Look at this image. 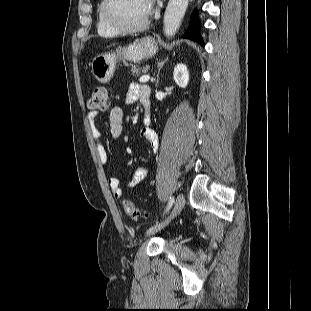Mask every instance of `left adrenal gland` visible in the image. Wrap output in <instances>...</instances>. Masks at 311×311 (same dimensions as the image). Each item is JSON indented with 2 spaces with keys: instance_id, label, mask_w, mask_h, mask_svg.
<instances>
[{
  "instance_id": "1",
  "label": "left adrenal gland",
  "mask_w": 311,
  "mask_h": 311,
  "mask_svg": "<svg viewBox=\"0 0 311 311\" xmlns=\"http://www.w3.org/2000/svg\"><path fill=\"white\" fill-rule=\"evenodd\" d=\"M167 60H168V57H167L164 61H158V63H157L158 72H157V81H156L155 86L158 85V82H159V72H160L161 68L163 67V65L165 64V62H166Z\"/></svg>"
}]
</instances>
